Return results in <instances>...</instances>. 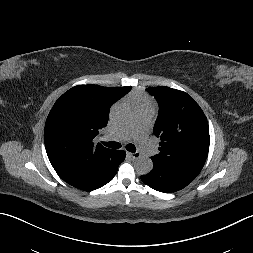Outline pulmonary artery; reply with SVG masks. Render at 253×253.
Instances as JSON below:
<instances>
[{"label":"pulmonary artery","mask_w":253,"mask_h":253,"mask_svg":"<svg viewBox=\"0 0 253 253\" xmlns=\"http://www.w3.org/2000/svg\"><path fill=\"white\" fill-rule=\"evenodd\" d=\"M152 107H141L137 109L133 125L127 129L119 131L116 135H106L104 140H125L133 136L141 152L149 157L155 154V147L148 138V129L153 117Z\"/></svg>","instance_id":"1"}]
</instances>
